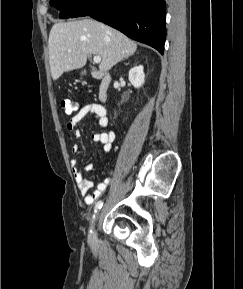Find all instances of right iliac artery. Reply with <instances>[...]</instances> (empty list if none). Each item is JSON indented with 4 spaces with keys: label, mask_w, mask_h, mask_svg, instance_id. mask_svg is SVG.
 Masks as SVG:
<instances>
[{
    "label": "right iliac artery",
    "mask_w": 243,
    "mask_h": 289,
    "mask_svg": "<svg viewBox=\"0 0 243 289\" xmlns=\"http://www.w3.org/2000/svg\"><path fill=\"white\" fill-rule=\"evenodd\" d=\"M102 206H103V202L102 201H98L95 204L94 213H96ZM91 232H92V230H91Z\"/></svg>",
    "instance_id": "82829eb1"
}]
</instances>
